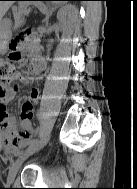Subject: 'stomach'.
I'll return each mask as SVG.
<instances>
[{"label":"stomach","mask_w":137,"mask_h":189,"mask_svg":"<svg viewBox=\"0 0 137 189\" xmlns=\"http://www.w3.org/2000/svg\"><path fill=\"white\" fill-rule=\"evenodd\" d=\"M37 4L38 2H33ZM11 23L9 20H0V43H7L10 37Z\"/></svg>","instance_id":"obj_1"}]
</instances>
